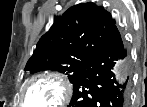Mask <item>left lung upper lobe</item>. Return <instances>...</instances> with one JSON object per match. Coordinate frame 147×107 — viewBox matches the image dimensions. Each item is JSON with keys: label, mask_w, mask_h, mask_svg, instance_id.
<instances>
[{"label": "left lung upper lobe", "mask_w": 147, "mask_h": 107, "mask_svg": "<svg viewBox=\"0 0 147 107\" xmlns=\"http://www.w3.org/2000/svg\"><path fill=\"white\" fill-rule=\"evenodd\" d=\"M115 23L108 11L92 2L69 8L40 38L25 71L56 70L68 75L73 83Z\"/></svg>", "instance_id": "obj_1"}]
</instances>
